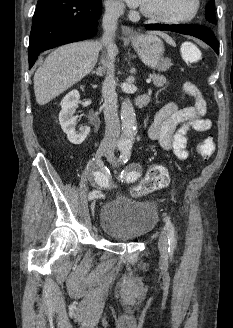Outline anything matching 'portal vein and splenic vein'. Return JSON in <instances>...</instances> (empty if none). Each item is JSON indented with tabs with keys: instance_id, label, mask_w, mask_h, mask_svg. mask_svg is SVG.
Masks as SVG:
<instances>
[{
	"instance_id": "obj_1",
	"label": "portal vein and splenic vein",
	"mask_w": 233,
	"mask_h": 328,
	"mask_svg": "<svg viewBox=\"0 0 233 328\" xmlns=\"http://www.w3.org/2000/svg\"><path fill=\"white\" fill-rule=\"evenodd\" d=\"M147 83H151V77L146 80Z\"/></svg>"
}]
</instances>
